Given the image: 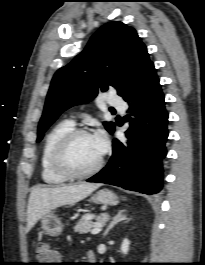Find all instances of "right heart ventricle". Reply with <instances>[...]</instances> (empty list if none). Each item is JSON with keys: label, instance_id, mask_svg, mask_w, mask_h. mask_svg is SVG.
I'll return each mask as SVG.
<instances>
[{"label": "right heart ventricle", "instance_id": "obj_1", "mask_svg": "<svg viewBox=\"0 0 205 265\" xmlns=\"http://www.w3.org/2000/svg\"><path fill=\"white\" fill-rule=\"evenodd\" d=\"M72 129H74L73 122L64 120L51 128L45 136L41 152V177L47 184L58 185L67 180L53 169L51 165V156L58 141Z\"/></svg>", "mask_w": 205, "mask_h": 265}]
</instances>
